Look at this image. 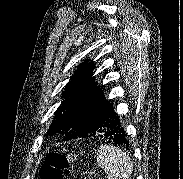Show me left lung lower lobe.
Returning a JSON list of instances; mask_svg holds the SVG:
<instances>
[{"label":"left lung lower lobe","mask_w":183,"mask_h":179,"mask_svg":"<svg viewBox=\"0 0 183 179\" xmlns=\"http://www.w3.org/2000/svg\"><path fill=\"white\" fill-rule=\"evenodd\" d=\"M87 137H99L106 140L114 141L128 148L127 134L124 130L120 117L113 111L109 119L95 132ZM85 138V137H84Z\"/></svg>","instance_id":"0a47b994"}]
</instances>
